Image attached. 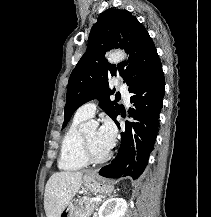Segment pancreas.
<instances>
[{
  "label": "pancreas",
  "instance_id": "obj_1",
  "mask_svg": "<svg viewBox=\"0 0 211 217\" xmlns=\"http://www.w3.org/2000/svg\"><path fill=\"white\" fill-rule=\"evenodd\" d=\"M90 199L85 197L79 200L75 209V217H90L97 205V202L89 203Z\"/></svg>",
  "mask_w": 211,
  "mask_h": 217
}]
</instances>
